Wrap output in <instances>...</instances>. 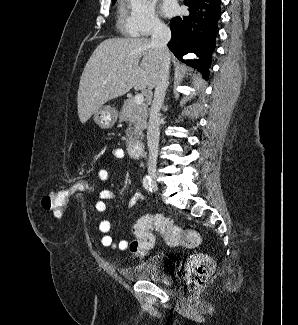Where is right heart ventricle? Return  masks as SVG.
<instances>
[{
    "label": "right heart ventricle",
    "instance_id": "e07e8e85",
    "mask_svg": "<svg viewBox=\"0 0 298 325\" xmlns=\"http://www.w3.org/2000/svg\"><path fill=\"white\" fill-rule=\"evenodd\" d=\"M124 9H125V3L120 2L119 6H118V11H119L120 17H122V15L124 13Z\"/></svg>",
    "mask_w": 298,
    "mask_h": 325
}]
</instances>
